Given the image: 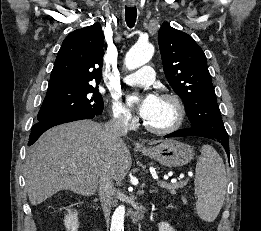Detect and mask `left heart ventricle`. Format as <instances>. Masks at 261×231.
Here are the masks:
<instances>
[{"mask_svg": "<svg viewBox=\"0 0 261 231\" xmlns=\"http://www.w3.org/2000/svg\"><path fill=\"white\" fill-rule=\"evenodd\" d=\"M176 120V109L169 100L158 99V102L146 121L154 127L166 128L171 126Z\"/></svg>", "mask_w": 261, "mask_h": 231, "instance_id": "1", "label": "left heart ventricle"}]
</instances>
